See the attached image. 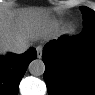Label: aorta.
Listing matches in <instances>:
<instances>
[{"label": "aorta", "instance_id": "obj_1", "mask_svg": "<svg viewBox=\"0 0 95 95\" xmlns=\"http://www.w3.org/2000/svg\"><path fill=\"white\" fill-rule=\"evenodd\" d=\"M28 70L34 76H41L45 72V64L42 60L35 59L29 64Z\"/></svg>", "mask_w": 95, "mask_h": 95}]
</instances>
